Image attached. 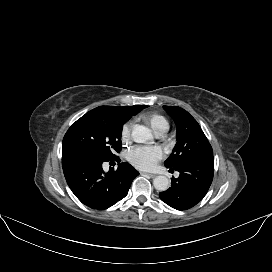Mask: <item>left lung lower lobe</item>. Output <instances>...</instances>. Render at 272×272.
Listing matches in <instances>:
<instances>
[{"label":"left lung lower lobe","instance_id":"left-lung-lower-lobe-1","mask_svg":"<svg viewBox=\"0 0 272 272\" xmlns=\"http://www.w3.org/2000/svg\"><path fill=\"white\" fill-rule=\"evenodd\" d=\"M175 170L180 172L179 177L173 178L171 187L159 196L172 208L190 209L203 199L212 183L214 157L188 161Z\"/></svg>","mask_w":272,"mask_h":272}]
</instances>
